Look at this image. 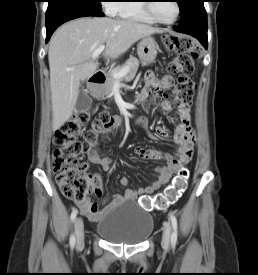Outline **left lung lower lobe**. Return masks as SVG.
Here are the masks:
<instances>
[{"label": "left lung lower lobe", "instance_id": "1", "mask_svg": "<svg viewBox=\"0 0 258 275\" xmlns=\"http://www.w3.org/2000/svg\"><path fill=\"white\" fill-rule=\"evenodd\" d=\"M203 3L204 0H192L174 30L197 38L207 49V13Z\"/></svg>", "mask_w": 258, "mask_h": 275}]
</instances>
